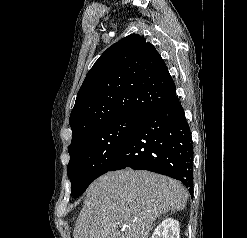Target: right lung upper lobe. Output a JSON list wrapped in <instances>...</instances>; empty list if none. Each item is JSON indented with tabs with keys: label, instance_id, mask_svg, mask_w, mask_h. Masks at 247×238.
<instances>
[{
	"label": "right lung upper lobe",
	"instance_id": "obj_1",
	"mask_svg": "<svg viewBox=\"0 0 247 238\" xmlns=\"http://www.w3.org/2000/svg\"><path fill=\"white\" fill-rule=\"evenodd\" d=\"M175 94L154 46L131 34L108 48L87 73L69 119L72 140L118 117L143 116Z\"/></svg>",
	"mask_w": 247,
	"mask_h": 238
}]
</instances>
